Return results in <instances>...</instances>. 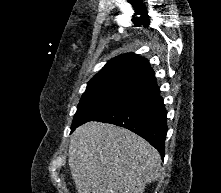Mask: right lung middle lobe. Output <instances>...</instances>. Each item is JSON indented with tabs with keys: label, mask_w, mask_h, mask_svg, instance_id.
<instances>
[{
	"label": "right lung middle lobe",
	"mask_w": 221,
	"mask_h": 193,
	"mask_svg": "<svg viewBox=\"0 0 221 193\" xmlns=\"http://www.w3.org/2000/svg\"><path fill=\"white\" fill-rule=\"evenodd\" d=\"M144 87L115 83L86 89L77 106L71 131L79 125L91 121L136 97Z\"/></svg>",
	"instance_id": "obj_1"
}]
</instances>
